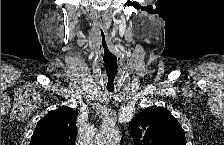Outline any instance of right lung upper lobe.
I'll return each instance as SVG.
<instances>
[{
    "label": "right lung upper lobe",
    "mask_w": 224,
    "mask_h": 145,
    "mask_svg": "<svg viewBox=\"0 0 224 145\" xmlns=\"http://www.w3.org/2000/svg\"><path fill=\"white\" fill-rule=\"evenodd\" d=\"M77 112L64 107L50 112L36 125L30 145H73Z\"/></svg>",
    "instance_id": "1"
}]
</instances>
